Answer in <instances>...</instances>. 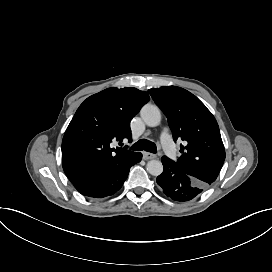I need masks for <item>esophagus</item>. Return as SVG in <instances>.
Segmentation results:
<instances>
[{
    "instance_id": "1",
    "label": "esophagus",
    "mask_w": 272,
    "mask_h": 272,
    "mask_svg": "<svg viewBox=\"0 0 272 272\" xmlns=\"http://www.w3.org/2000/svg\"><path fill=\"white\" fill-rule=\"evenodd\" d=\"M142 156L144 160H150V159L156 158V155L150 152H142Z\"/></svg>"
}]
</instances>
